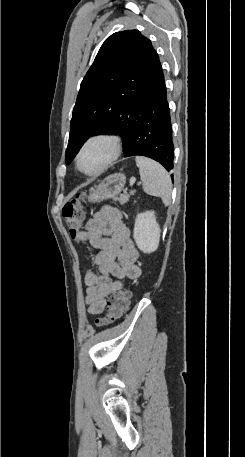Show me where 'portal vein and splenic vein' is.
Returning <instances> with one entry per match:
<instances>
[{
  "instance_id": "18ae733b",
  "label": "portal vein and splenic vein",
  "mask_w": 245,
  "mask_h": 457,
  "mask_svg": "<svg viewBox=\"0 0 245 457\" xmlns=\"http://www.w3.org/2000/svg\"><path fill=\"white\" fill-rule=\"evenodd\" d=\"M135 183H136V178H135V176H131L130 182L128 183V186H129L130 188H131V187L133 188V187H135V185H136Z\"/></svg>"
}]
</instances>
